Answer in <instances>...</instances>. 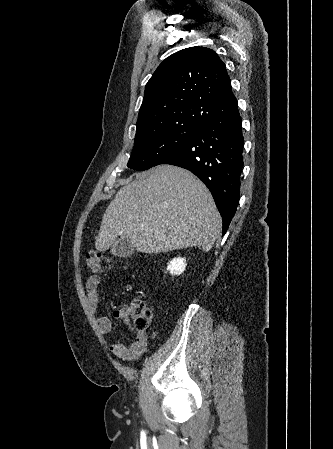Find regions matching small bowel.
<instances>
[{"mask_svg": "<svg viewBox=\"0 0 333 449\" xmlns=\"http://www.w3.org/2000/svg\"><path fill=\"white\" fill-rule=\"evenodd\" d=\"M101 278L98 275H92L86 282V293L88 306L96 317L98 330L102 334H107L112 329V322L107 316L100 314V292L99 285ZM117 319L126 320L129 317L128 307L118 309L114 312ZM148 335L144 330H136L133 341L129 345L121 342H115L110 345V352L124 361L135 360L143 355L148 348Z\"/></svg>", "mask_w": 333, "mask_h": 449, "instance_id": "1", "label": "small bowel"}]
</instances>
